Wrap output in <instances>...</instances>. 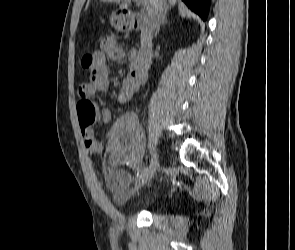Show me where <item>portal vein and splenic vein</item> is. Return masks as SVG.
<instances>
[{"label": "portal vein and splenic vein", "mask_w": 295, "mask_h": 250, "mask_svg": "<svg viewBox=\"0 0 295 250\" xmlns=\"http://www.w3.org/2000/svg\"><path fill=\"white\" fill-rule=\"evenodd\" d=\"M139 4H142L147 12V14H152V9L150 8L149 4L146 3L144 0H136Z\"/></svg>", "instance_id": "portal-vein-and-splenic-vein-1"}]
</instances>
